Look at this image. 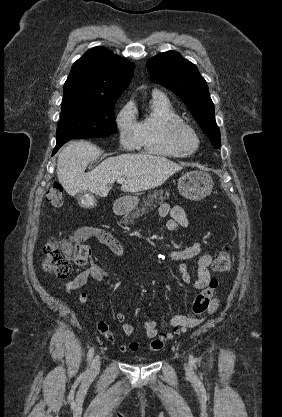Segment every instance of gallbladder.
Returning <instances> with one entry per match:
<instances>
[{"label":"gallbladder","instance_id":"bac80fb5","mask_svg":"<svg viewBox=\"0 0 282 417\" xmlns=\"http://www.w3.org/2000/svg\"><path fill=\"white\" fill-rule=\"evenodd\" d=\"M77 198L81 206H87L89 200L92 198L91 192L89 190H81V192H78Z\"/></svg>","mask_w":282,"mask_h":417}]
</instances>
